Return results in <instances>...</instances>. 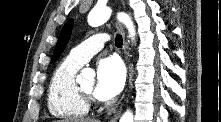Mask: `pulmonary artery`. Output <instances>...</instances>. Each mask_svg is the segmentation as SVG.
Segmentation results:
<instances>
[{"mask_svg":"<svg viewBox=\"0 0 221 122\" xmlns=\"http://www.w3.org/2000/svg\"><path fill=\"white\" fill-rule=\"evenodd\" d=\"M108 40L109 37L105 33L95 34L73 48L69 54V58L82 66L93 55L98 53Z\"/></svg>","mask_w":221,"mask_h":122,"instance_id":"e3ab8cb5","label":"pulmonary artery"}]
</instances>
